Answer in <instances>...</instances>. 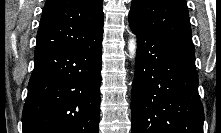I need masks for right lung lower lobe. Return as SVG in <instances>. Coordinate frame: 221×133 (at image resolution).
<instances>
[{
    "label": "right lung lower lobe",
    "instance_id": "obj_1",
    "mask_svg": "<svg viewBox=\"0 0 221 133\" xmlns=\"http://www.w3.org/2000/svg\"><path fill=\"white\" fill-rule=\"evenodd\" d=\"M102 39L34 54L23 133H98Z\"/></svg>",
    "mask_w": 221,
    "mask_h": 133
}]
</instances>
